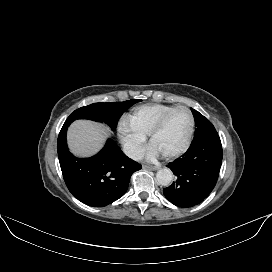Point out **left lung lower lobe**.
I'll return each mask as SVG.
<instances>
[{"label": "left lung lower lobe", "instance_id": "0a47b994", "mask_svg": "<svg viewBox=\"0 0 272 272\" xmlns=\"http://www.w3.org/2000/svg\"><path fill=\"white\" fill-rule=\"evenodd\" d=\"M222 156L218 133L191 143L181 158L168 165L176 175V180L163 189L165 197L182 208L201 203L215 187Z\"/></svg>", "mask_w": 272, "mask_h": 272}]
</instances>
